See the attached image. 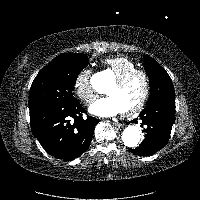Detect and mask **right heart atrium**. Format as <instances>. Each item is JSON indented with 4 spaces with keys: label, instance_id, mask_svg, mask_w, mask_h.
<instances>
[{
    "label": "right heart atrium",
    "instance_id": "d8ad5b80",
    "mask_svg": "<svg viewBox=\"0 0 200 200\" xmlns=\"http://www.w3.org/2000/svg\"><path fill=\"white\" fill-rule=\"evenodd\" d=\"M73 87L77 97L86 104H91L96 98L95 89L91 83V71L83 69L76 75Z\"/></svg>",
    "mask_w": 200,
    "mask_h": 200
}]
</instances>
